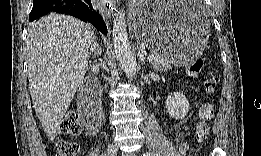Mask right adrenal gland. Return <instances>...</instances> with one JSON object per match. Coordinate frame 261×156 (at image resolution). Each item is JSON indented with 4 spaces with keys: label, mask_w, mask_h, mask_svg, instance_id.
<instances>
[{
    "label": "right adrenal gland",
    "mask_w": 261,
    "mask_h": 156,
    "mask_svg": "<svg viewBox=\"0 0 261 156\" xmlns=\"http://www.w3.org/2000/svg\"><path fill=\"white\" fill-rule=\"evenodd\" d=\"M102 52V47L100 46V44L97 41V38L95 37V40L90 47L89 54L93 55L94 57H99L102 55Z\"/></svg>",
    "instance_id": "1"
}]
</instances>
